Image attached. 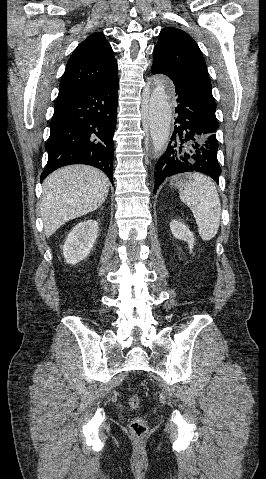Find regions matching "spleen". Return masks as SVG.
<instances>
[{
  "label": "spleen",
  "mask_w": 266,
  "mask_h": 479,
  "mask_svg": "<svg viewBox=\"0 0 266 479\" xmlns=\"http://www.w3.org/2000/svg\"><path fill=\"white\" fill-rule=\"evenodd\" d=\"M179 196L191 209L202 240L213 239L220 226L221 203L212 179L200 173L190 175L184 181Z\"/></svg>",
  "instance_id": "3e777b00"
}]
</instances>
